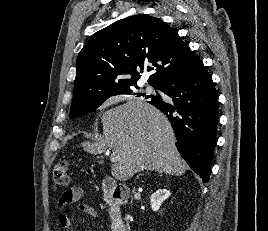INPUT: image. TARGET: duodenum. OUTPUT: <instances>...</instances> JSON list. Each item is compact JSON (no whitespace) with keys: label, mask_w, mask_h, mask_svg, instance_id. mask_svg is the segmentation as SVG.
<instances>
[{"label":"duodenum","mask_w":268,"mask_h":231,"mask_svg":"<svg viewBox=\"0 0 268 231\" xmlns=\"http://www.w3.org/2000/svg\"><path fill=\"white\" fill-rule=\"evenodd\" d=\"M102 193L109 204V214L112 220L113 231H126L121 211V202L128 199V193L113 179L107 178L102 184Z\"/></svg>","instance_id":"1"}]
</instances>
